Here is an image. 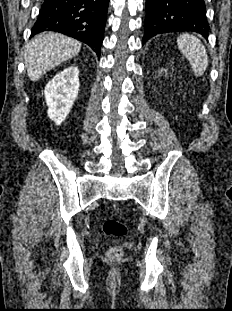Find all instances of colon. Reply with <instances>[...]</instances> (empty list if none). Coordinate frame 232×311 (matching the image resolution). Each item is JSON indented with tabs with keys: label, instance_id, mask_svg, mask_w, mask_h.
<instances>
[{
	"label": "colon",
	"instance_id": "1",
	"mask_svg": "<svg viewBox=\"0 0 232 311\" xmlns=\"http://www.w3.org/2000/svg\"><path fill=\"white\" fill-rule=\"evenodd\" d=\"M102 229L106 235L113 237H123L128 233L127 226L113 218L105 219L102 223ZM123 256L124 251L121 246H113L107 250V257L112 261L121 260Z\"/></svg>",
	"mask_w": 232,
	"mask_h": 311
}]
</instances>
